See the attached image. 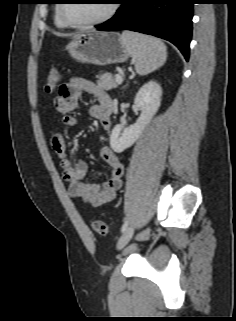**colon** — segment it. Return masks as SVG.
<instances>
[{"mask_svg": "<svg viewBox=\"0 0 236 321\" xmlns=\"http://www.w3.org/2000/svg\"><path fill=\"white\" fill-rule=\"evenodd\" d=\"M59 81V72L56 69L50 71L45 82V91L51 93L57 86ZM92 229L100 236H106L108 227L102 220H93L91 222Z\"/></svg>", "mask_w": 236, "mask_h": 321, "instance_id": "colon-1", "label": "colon"}]
</instances>
